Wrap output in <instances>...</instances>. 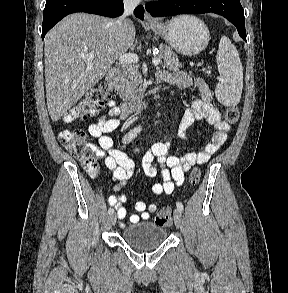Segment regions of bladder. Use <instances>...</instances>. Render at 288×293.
Masks as SVG:
<instances>
[{
  "instance_id": "1",
  "label": "bladder",
  "mask_w": 288,
  "mask_h": 293,
  "mask_svg": "<svg viewBox=\"0 0 288 293\" xmlns=\"http://www.w3.org/2000/svg\"><path fill=\"white\" fill-rule=\"evenodd\" d=\"M123 240L137 249H152L167 239V230L158 224L145 221L126 226L122 231Z\"/></svg>"
}]
</instances>
